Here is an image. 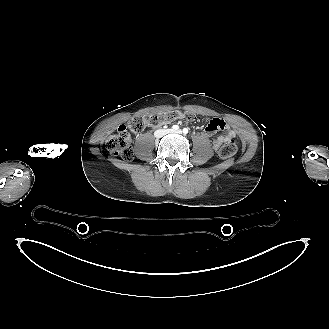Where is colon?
<instances>
[{
	"instance_id": "colon-1",
	"label": "colon",
	"mask_w": 329,
	"mask_h": 329,
	"mask_svg": "<svg viewBox=\"0 0 329 329\" xmlns=\"http://www.w3.org/2000/svg\"><path fill=\"white\" fill-rule=\"evenodd\" d=\"M181 118L186 121H193L196 116L191 112L180 113L178 111L134 116L127 122V124L120 125L117 131L107 138V150L111 154L129 161L133 158L130 133H140L148 127H158ZM236 150L237 145L235 140L228 139L221 145L219 155L221 158L227 159L232 157L236 153Z\"/></svg>"
}]
</instances>
